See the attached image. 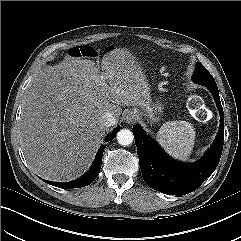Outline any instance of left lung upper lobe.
I'll list each match as a JSON object with an SVG mask.
<instances>
[{
    "mask_svg": "<svg viewBox=\"0 0 241 241\" xmlns=\"http://www.w3.org/2000/svg\"><path fill=\"white\" fill-rule=\"evenodd\" d=\"M193 80L204 86H217L214 78L210 73L201 65L197 64L196 72L193 75Z\"/></svg>",
    "mask_w": 241,
    "mask_h": 241,
    "instance_id": "1",
    "label": "left lung upper lobe"
}]
</instances>
